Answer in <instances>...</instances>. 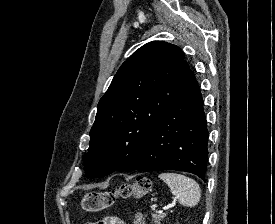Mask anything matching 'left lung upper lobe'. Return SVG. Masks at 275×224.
I'll return each instance as SVG.
<instances>
[{"label":"left lung upper lobe","instance_id":"obj_1","mask_svg":"<svg viewBox=\"0 0 275 224\" xmlns=\"http://www.w3.org/2000/svg\"><path fill=\"white\" fill-rule=\"evenodd\" d=\"M194 78L176 45L152 41L135 51L98 103L85 156L88 176L127 171L155 124Z\"/></svg>","mask_w":275,"mask_h":224}]
</instances>
